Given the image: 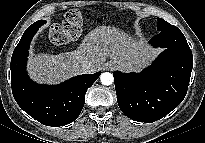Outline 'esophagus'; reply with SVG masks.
Here are the masks:
<instances>
[{
	"instance_id": "34e87169",
	"label": "esophagus",
	"mask_w": 205,
	"mask_h": 143,
	"mask_svg": "<svg viewBox=\"0 0 205 143\" xmlns=\"http://www.w3.org/2000/svg\"><path fill=\"white\" fill-rule=\"evenodd\" d=\"M116 68V64L113 62H108L105 64V69L107 70H114Z\"/></svg>"
}]
</instances>
